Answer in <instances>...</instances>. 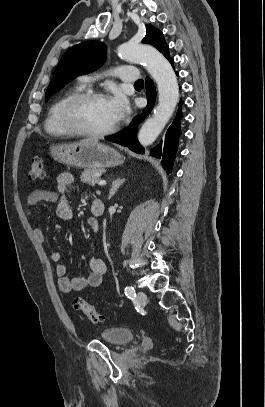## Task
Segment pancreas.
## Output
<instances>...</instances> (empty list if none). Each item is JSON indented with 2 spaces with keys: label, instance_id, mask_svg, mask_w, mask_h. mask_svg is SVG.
<instances>
[{
  "label": "pancreas",
  "instance_id": "obj_1",
  "mask_svg": "<svg viewBox=\"0 0 265 407\" xmlns=\"http://www.w3.org/2000/svg\"><path fill=\"white\" fill-rule=\"evenodd\" d=\"M99 173V169H86L81 173L80 179L83 183L95 185L100 180Z\"/></svg>",
  "mask_w": 265,
  "mask_h": 407
}]
</instances>
